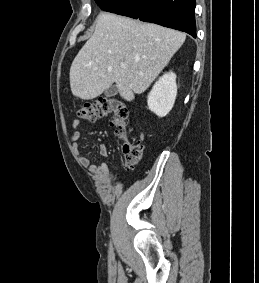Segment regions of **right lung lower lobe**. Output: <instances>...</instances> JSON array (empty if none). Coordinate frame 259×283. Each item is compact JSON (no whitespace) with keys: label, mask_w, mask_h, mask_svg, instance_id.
Returning <instances> with one entry per match:
<instances>
[{"label":"right lung lower lobe","mask_w":259,"mask_h":283,"mask_svg":"<svg viewBox=\"0 0 259 283\" xmlns=\"http://www.w3.org/2000/svg\"><path fill=\"white\" fill-rule=\"evenodd\" d=\"M104 11L184 31L196 38L195 0H95Z\"/></svg>","instance_id":"right-lung-lower-lobe-1"}]
</instances>
